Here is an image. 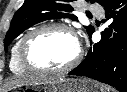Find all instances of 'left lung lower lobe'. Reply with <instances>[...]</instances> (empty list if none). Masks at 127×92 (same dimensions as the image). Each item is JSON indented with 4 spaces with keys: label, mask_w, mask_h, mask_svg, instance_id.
Segmentation results:
<instances>
[{
    "label": "left lung lower lobe",
    "mask_w": 127,
    "mask_h": 92,
    "mask_svg": "<svg viewBox=\"0 0 127 92\" xmlns=\"http://www.w3.org/2000/svg\"><path fill=\"white\" fill-rule=\"evenodd\" d=\"M104 9L107 19L114 21L101 33L100 42L89 49L85 60L68 74L86 76L127 92V0H114Z\"/></svg>",
    "instance_id": "1"
}]
</instances>
